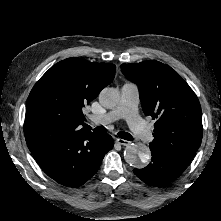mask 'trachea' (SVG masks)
<instances>
[{
	"mask_svg": "<svg viewBox=\"0 0 221 221\" xmlns=\"http://www.w3.org/2000/svg\"><path fill=\"white\" fill-rule=\"evenodd\" d=\"M94 131L100 132V133H106L107 129L104 126H96L94 128ZM118 136L124 140H128V141L133 140L132 135L126 132H118Z\"/></svg>",
	"mask_w": 221,
	"mask_h": 221,
	"instance_id": "trachea-1",
	"label": "trachea"
}]
</instances>
